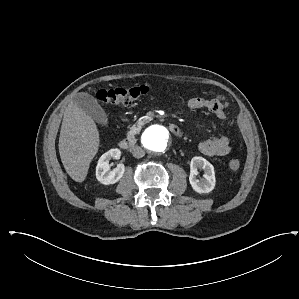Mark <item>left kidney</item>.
Listing matches in <instances>:
<instances>
[{
	"label": "left kidney",
	"mask_w": 299,
	"mask_h": 299,
	"mask_svg": "<svg viewBox=\"0 0 299 299\" xmlns=\"http://www.w3.org/2000/svg\"><path fill=\"white\" fill-rule=\"evenodd\" d=\"M204 170L203 179H198V169ZM189 182L193 190L199 194L210 193L215 187V172L213 165L202 157H193L190 162Z\"/></svg>",
	"instance_id": "5707ae66"
}]
</instances>
